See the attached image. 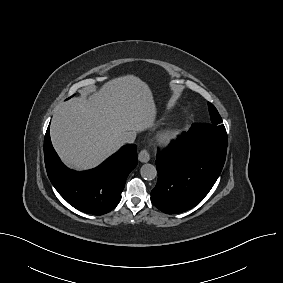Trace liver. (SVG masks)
<instances>
[{
	"label": "liver",
	"mask_w": 283,
	"mask_h": 283,
	"mask_svg": "<svg viewBox=\"0 0 283 283\" xmlns=\"http://www.w3.org/2000/svg\"><path fill=\"white\" fill-rule=\"evenodd\" d=\"M155 118L150 88L127 75L110 80L88 99L61 105L52 119L51 140L66 165L90 169L118 150L121 134L144 131Z\"/></svg>",
	"instance_id": "obj_1"
}]
</instances>
